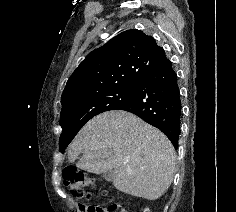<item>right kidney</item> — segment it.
Returning a JSON list of instances; mask_svg holds the SVG:
<instances>
[{"mask_svg":"<svg viewBox=\"0 0 236 212\" xmlns=\"http://www.w3.org/2000/svg\"><path fill=\"white\" fill-rule=\"evenodd\" d=\"M144 212H149V209H145Z\"/></svg>","mask_w":236,"mask_h":212,"instance_id":"right-kidney-1","label":"right kidney"}]
</instances>
